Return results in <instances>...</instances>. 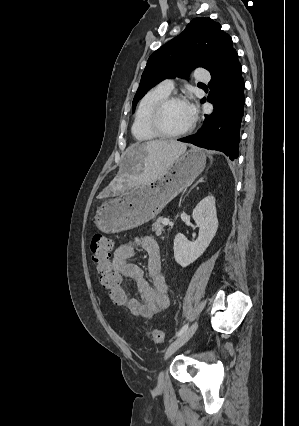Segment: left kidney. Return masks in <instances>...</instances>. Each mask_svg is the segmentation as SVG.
<instances>
[{
  "label": "left kidney",
  "mask_w": 299,
  "mask_h": 426,
  "mask_svg": "<svg viewBox=\"0 0 299 426\" xmlns=\"http://www.w3.org/2000/svg\"><path fill=\"white\" fill-rule=\"evenodd\" d=\"M199 234L196 241H189L183 234L178 233L174 239V258L182 267H187L198 259L209 246L218 229V219L215 207V197L210 195L203 198L192 213Z\"/></svg>",
  "instance_id": "obj_1"
}]
</instances>
